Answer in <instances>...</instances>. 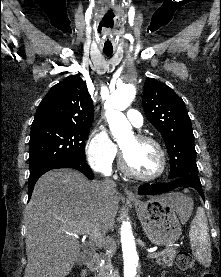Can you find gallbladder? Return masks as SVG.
<instances>
[{
  "label": "gallbladder",
  "mask_w": 221,
  "mask_h": 277,
  "mask_svg": "<svg viewBox=\"0 0 221 277\" xmlns=\"http://www.w3.org/2000/svg\"><path fill=\"white\" fill-rule=\"evenodd\" d=\"M89 258H90L89 255L82 253L81 256L79 257L77 263L79 265H84L88 262Z\"/></svg>",
  "instance_id": "1"
}]
</instances>
